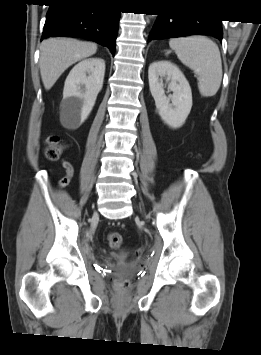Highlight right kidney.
Instances as JSON below:
<instances>
[{
	"mask_svg": "<svg viewBox=\"0 0 261 355\" xmlns=\"http://www.w3.org/2000/svg\"><path fill=\"white\" fill-rule=\"evenodd\" d=\"M104 74L102 58L82 60L70 71L61 102V115L67 126L79 127L87 119L102 89Z\"/></svg>",
	"mask_w": 261,
	"mask_h": 355,
	"instance_id": "ca27d5eb",
	"label": "right kidney"
}]
</instances>
